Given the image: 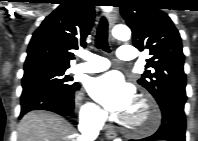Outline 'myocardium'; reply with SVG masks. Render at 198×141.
<instances>
[{
    "instance_id": "1",
    "label": "myocardium",
    "mask_w": 198,
    "mask_h": 141,
    "mask_svg": "<svg viewBox=\"0 0 198 141\" xmlns=\"http://www.w3.org/2000/svg\"><path fill=\"white\" fill-rule=\"evenodd\" d=\"M135 108L141 109L142 121H135L130 115L122 119L123 124L130 130L136 132L152 131L159 123V112L154 102L148 97H140L136 101Z\"/></svg>"
}]
</instances>
